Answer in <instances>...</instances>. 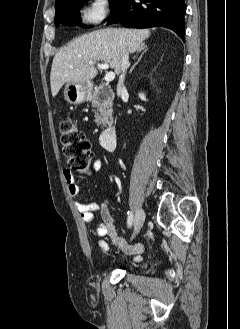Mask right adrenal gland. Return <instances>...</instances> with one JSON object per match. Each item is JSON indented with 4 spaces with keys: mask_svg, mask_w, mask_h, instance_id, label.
<instances>
[{
    "mask_svg": "<svg viewBox=\"0 0 240 329\" xmlns=\"http://www.w3.org/2000/svg\"><path fill=\"white\" fill-rule=\"evenodd\" d=\"M146 50H147V48H146V45H142L138 50H137V52H141L142 51V53H141V55H140V57L138 58V61L131 67V69H130V71H129V73H132V71H133V69L135 68V66L140 62V60L142 59V56H143V54L146 52Z\"/></svg>",
    "mask_w": 240,
    "mask_h": 329,
    "instance_id": "right-adrenal-gland-1",
    "label": "right adrenal gland"
}]
</instances>
